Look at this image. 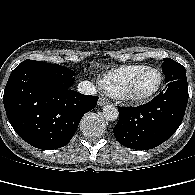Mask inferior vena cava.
Masks as SVG:
<instances>
[{"label":"inferior vena cava","instance_id":"1","mask_svg":"<svg viewBox=\"0 0 195 195\" xmlns=\"http://www.w3.org/2000/svg\"><path fill=\"white\" fill-rule=\"evenodd\" d=\"M80 93L86 95H95L97 90L95 86L90 81H82L78 84V89Z\"/></svg>","mask_w":195,"mask_h":195}]
</instances>
